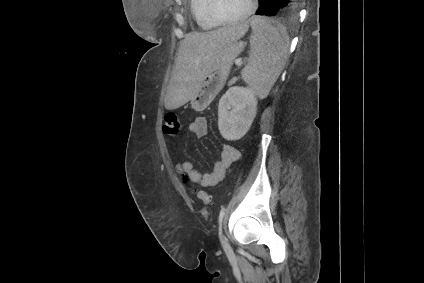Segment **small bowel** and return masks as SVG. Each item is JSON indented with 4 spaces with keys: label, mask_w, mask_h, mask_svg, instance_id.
Wrapping results in <instances>:
<instances>
[{
    "label": "small bowel",
    "mask_w": 424,
    "mask_h": 283,
    "mask_svg": "<svg viewBox=\"0 0 424 283\" xmlns=\"http://www.w3.org/2000/svg\"><path fill=\"white\" fill-rule=\"evenodd\" d=\"M188 130L197 138H202L208 133V122L205 117H197L188 126ZM240 158L239 150L226 144L223 146L220 159L215 162L213 169L209 172H199L189 161L177 164L176 171L182 177H187L190 185L198 184L202 187H212L223 180L227 169ZM186 184V183H185Z\"/></svg>",
    "instance_id": "c3829d8e"
}]
</instances>
